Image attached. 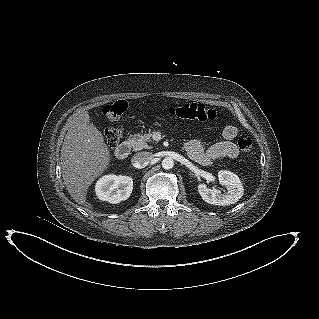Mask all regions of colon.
<instances>
[{"label": "colon", "instance_id": "1", "mask_svg": "<svg viewBox=\"0 0 319 319\" xmlns=\"http://www.w3.org/2000/svg\"><path fill=\"white\" fill-rule=\"evenodd\" d=\"M127 110V102L119 100L114 103L106 104L103 109V115L115 120L119 118ZM168 113L182 120L188 121H213L219 119L222 114L215 109L209 108L200 103H187L178 106H172L168 109ZM106 143L109 146H115L119 143L122 137V129L119 127H109L104 132ZM239 149L247 156H252L254 153L252 140L248 137H242L238 140Z\"/></svg>", "mask_w": 319, "mask_h": 319}]
</instances>
